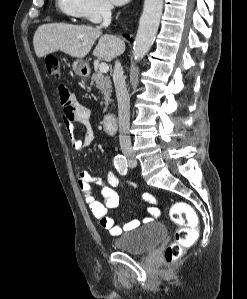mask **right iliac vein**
<instances>
[{"instance_id":"right-iliac-vein-1","label":"right iliac vein","mask_w":247,"mask_h":299,"mask_svg":"<svg viewBox=\"0 0 247 299\" xmlns=\"http://www.w3.org/2000/svg\"><path fill=\"white\" fill-rule=\"evenodd\" d=\"M126 158H127L128 163H129V165H130L131 167H135V166H137V161H136V159H135L133 156H131V155H126Z\"/></svg>"}]
</instances>
